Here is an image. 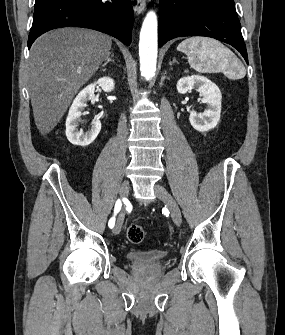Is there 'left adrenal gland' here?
Instances as JSON below:
<instances>
[{"instance_id":"left-adrenal-gland-1","label":"left adrenal gland","mask_w":285,"mask_h":335,"mask_svg":"<svg viewBox=\"0 0 285 335\" xmlns=\"http://www.w3.org/2000/svg\"><path fill=\"white\" fill-rule=\"evenodd\" d=\"M175 62H177L176 58H173L172 62H169V66H172V64H175ZM177 64H179V62H177Z\"/></svg>"}]
</instances>
